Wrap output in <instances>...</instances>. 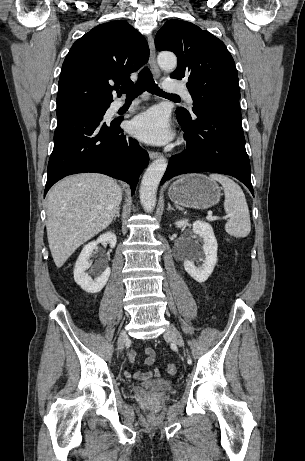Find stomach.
<instances>
[{"label": "stomach", "mask_w": 305, "mask_h": 461, "mask_svg": "<svg viewBox=\"0 0 305 461\" xmlns=\"http://www.w3.org/2000/svg\"><path fill=\"white\" fill-rule=\"evenodd\" d=\"M168 196L177 205L206 209L219 202L221 190L214 180L203 174H188L169 186Z\"/></svg>", "instance_id": "1"}]
</instances>
